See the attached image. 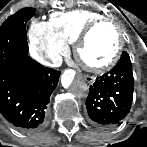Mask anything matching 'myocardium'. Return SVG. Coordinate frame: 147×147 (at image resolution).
<instances>
[{"instance_id": "f54148a6", "label": "myocardium", "mask_w": 147, "mask_h": 147, "mask_svg": "<svg viewBox=\"0 0 147 147\" xmlns=\"http://www.w3.org/2000/svg\"><path fill=\"white\" fill-rule=\"evenodd\" d=\"M108 26L110 27V23L105 20L94 22L88 25L75 41V44H74L75 58L81 64V66L84 67L85 69L91 70L94 72L101 71L110 67L117 60L122 48V39L120 37H118L116 46L114 47L112 53L103 61L91 62L87 60L84 55V50L91 34L100 27H108Z\"/></svg>"}]
</instances>
